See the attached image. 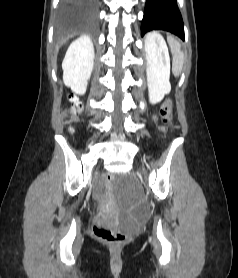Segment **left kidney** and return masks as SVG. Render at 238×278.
Instances as JSON below:
<instances>
[{
    "mask_svg": "<svg viewBox=\"0 0 238 278\" xmlns=\"http://www.w3.org/2000/svg\"><path fill=\"white\" fill-rule=\"evenodd\" d=\"M145 53L149 101L156 104L171 91L169 52L160 35L150 34L145 39Z\"/></svg>",
    "mask_w": 238,
    "mask_h": 278,
    "instance_id": "left-kidney-1",
    "label": "left kidney"
}]
</instances>
